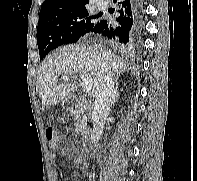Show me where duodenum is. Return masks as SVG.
Segmentation results:
<instances>
[{
  "mask_svg": "<svg viewBox=\"0 0 197 181\" xmlns=\"http://www.w3.org/2000/svg\"><path fill=\"white\" fill-rule=\"evenodd\" d=\"M66 106H67V110L71 113H83L84 112V105L79 100H75V99L69 100ZM87 150L89 153L93 152L91 147H88Z\"/></svg>",
  "mask_w": 197,
  "mask_h": 181,
  "instance_id": "410a0bca",
  "label": "duodenum"
}]
</instances>
